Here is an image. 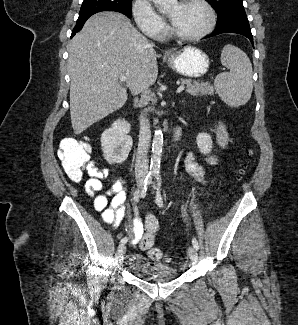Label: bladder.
Masks as SVG:
<instances>
[{"label":"bladder","instance_id":"bladder-1","mask_svg":"<svg viewBox=\"0 0 298 325\" xmlns=\"http://www.w3.org/2000/svg\"><path fill=\"white\" fill-rule=\"evenodd\" d=\"M131 273L149 283H166L175 280L179 272L176 268L153 262L143 255H133L129 261Z\"/></svg>","mask_w":298,"mask_h":325}]
</instances>
